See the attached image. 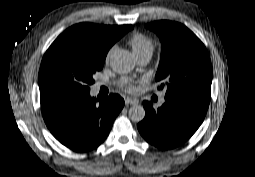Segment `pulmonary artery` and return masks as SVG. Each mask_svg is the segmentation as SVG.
<instances>
[{"mask_svg":"<svg viewBox=\"0 0 255 177\" xmlns=\"http://www.w3.org/2000/svg\"><path fill=\"white\" fill-rule=\"evenodd\" d=\"M151 59V54L147 53L137 58L138 62L141 65H146ZM161 101H164V96L161 98Z\"/></svg>","mask_w":255,"mask_h":177,"instance_id":"e3ab8cb5","label":"pulmonary artery"}]
</instances>
